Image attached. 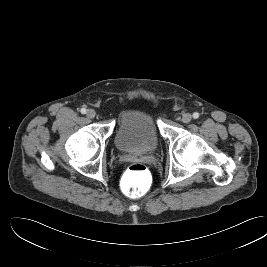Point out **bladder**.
<instances>
[{
  "label": "bladder",
  "instance_id": "31cf9c89",
  "mask_svg": "<svg viewBox=\"0 0 267 267\" xmlns=\"http://www.w3.org/2000/svg\"><path fill=\"white\" fill-rule=\"evenodd\" d=\"M160 141V133L153 115L143 108L127 110L114 133L116 148L125 153H148Z\"/></svg>",
  "mask_w": 267,
  "mask_h": 267
}]
</instances>
